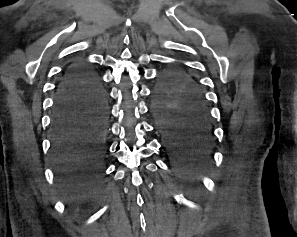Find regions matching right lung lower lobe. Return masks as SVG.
Segmentation results:
<instances>
[{"mask_svg": "<svg viewBox=\"0 0 297 237\" xmlns=\"http://www.w3.org/2000/svg\"><path fill=\"white\" fill-rule=\"evenodd\" d=\"M106 95L98 76L82 63L59 84L51 127L52 158L62 173H103Z\"/></svg>", "mask_w": 297, "mask_h": 237, "instance_id": "right-lung-lower-lobe-1", "label": "right lung lower lobe"}]
</instances>
